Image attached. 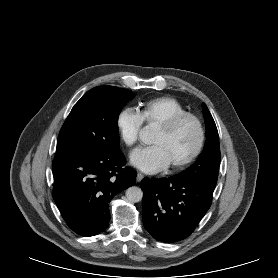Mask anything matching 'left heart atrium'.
<instances>
[{
    "mask_svg": "<svg viewBox=\"0 0 278 278\" xmlns=\"http://www.w3.org/2000/svg\"><path fill=\"white\" fill-rule=\"evenodd\" d=\"M130 159L134 166L150 174L160 172L170 165L163 148L156 144L134 150Z\"/></svg>",
    "mask_w": 278,
    "mask_h": 278,
    "instance_id": "obj_1",
    "label": "left heart atrium"
}]
</instances>
